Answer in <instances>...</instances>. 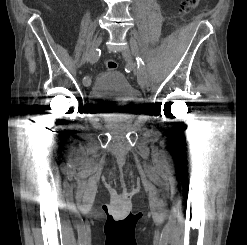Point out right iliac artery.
Listing matches in <instances>:
<instances>
[{
	"label": "right iliac artery",
	"instance_id": "82829eb1",
	"mask_svg": "<svg viewBox=\"0 0 247 245\" xmlns=\"http://www.w3.org/2000/svg\"><path fill=\"white\" fill-rule=\"evenodd\" d=\"M99 56H100V52L97 49L96 52L92 55V57H98V59H99Z\"/></svg>",
	"mask_w": 247,
	"mask_h": 245
}]
</instances>
